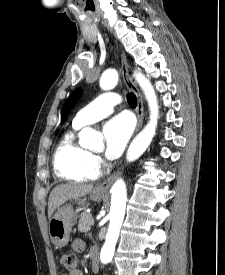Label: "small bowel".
Returning <instances> with one entry per match:
<instances>
[{"mask_svg":"<svg viewBox=\"0 0 225 275\" xmlns=\"http://www.w3.org/2000/svg\"><path fill=\"white\" fill-rule=\"evenodd\" d=\"M73 249L77 252H81L84 249V245L81 241H75L73 243ZM63 275H83L80 270L70 271L69 273H65Z\"/></svg>","mask_w":225,"mask_h":275,"instance_id":"c3829d8e","label":"small bowel"}]
</instances>
